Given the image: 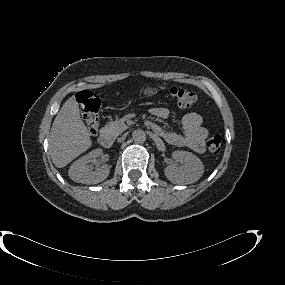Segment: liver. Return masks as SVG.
Wrapping results in <instances>:
<instances>
[{"label": "liver", "mask_w": 285, "mask_h": 285, "mask_svg": "<svg viewBox=\"0 0 285 285\" xmlns=\"http://www.w3.org/2000/svg\"><path fill=\"white\" fill-rule=\"evenodd\" d=\"M75 96L61 107L51 127L49 151L54 165L63 168L91 146Z\"/></svg>", "instance_id": "obj_1"}]
</instances>
